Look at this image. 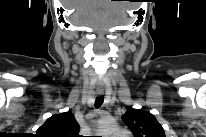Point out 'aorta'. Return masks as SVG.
Segmentation results:
<instances>
[{
    "label": "aorta",
    "instance_id": "762f6f07",
    "mask_svg": "<svg viewBox=\"0 0 206 137\" xmlns=\"http://www.w3.org/2000/svg\"><path fill=\"white\" fill-rule=\"evenodd\" d=\"M110 132H111V133L117 132V128H115V126H114V128H112V129L110 130Z\"/></svg>",
    "mask_w": 206,
    "mask_h": 137
}]
</instances>
